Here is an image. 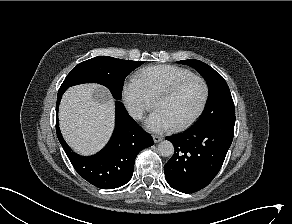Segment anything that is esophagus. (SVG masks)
Segmentation results:
<instances>
[{"mask_svg":"<svg viewBox=\"0 0 292 224\" xmlns=\"http://www.w3.org/2000/svg\"><path fill=\"white\" fill-rule=\"evenodd\" d=\"M153 140H154L155 143H158V142L163 140V137L162 136H158V135H153Z\"/></svg>","mask_w":292,"mask_h":224,"instance_id":"esophagus-1","label":"esophagus"}]
</instances>
